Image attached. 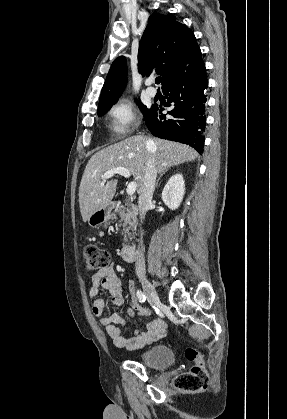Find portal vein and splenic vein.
<instances>
[{
  "label": "portal vein and splenic vein",
  "mask_w": 287,
  "mask_h": 419,
  "mask_svg": "<svg viewBox=\"0 0 287 419\" xmlns=\"http://www.w3.org/2000/svg\"><path fill=\"white\" fill-rule=\"evenodd\" d=\"M115 174H119L125 178H129L131 176V173L128 169L124 168V167H116L113 169L108 170L103 176H102V180L103 182H105L107 179L111 178L112 176H114ZM136 180V179H135ZM133 180L132 182H130L127 186L126 192L128 195H133L136 191L137 188V183L136 181Z\"/></svg>",
  "instance_id": "portal-vein-and-splenic-vein-1"
}]
</instances>
